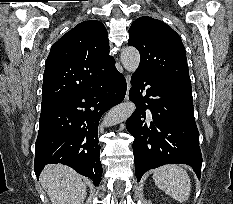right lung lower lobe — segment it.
<instances>
[{
    "label": "right lung lower lobe",
    "mask_w": 233,
    "mask_h": 204,
    "mask_svg": "<svg viewBox=\"0 0 233 204\" xmlns=\"http://www.w3.org/2000/svg\"><path fill=\"white\" fill-rule=\"evenodd\" d=\"M124 76L113 66L95 85L74 93L41 113L35 143L37 177L46 164L62 163L81 175L101 181L98 124L105 111L123 101Z\"/></svg>",
    "instance_id": "obj_1"
}]
</instances>
